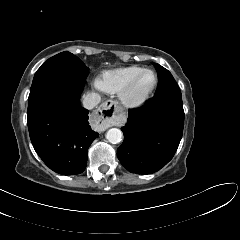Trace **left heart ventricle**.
<instances>
[{"mask_svg": "<svg viewBox=\"0 0 240 240\" xmlns=\"http://www.w3.org/2000/svg\"><path fill=\"white\" fill-rule=\"evenodd\" d=\"M154 83V76L150 72L144 73L136 82L131 95L134 98L141 97L144 95L152 86Z\"/></svg>", "mask_w": 240, "mask_h": 240, "instance_id": "b2bd125f", "label": "left heart ventricle"}]
</instances>
